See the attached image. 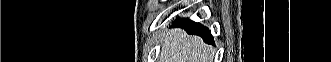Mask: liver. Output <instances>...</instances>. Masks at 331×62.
I'll list each match as a JSON object with an SVG mask.
<instances>
[{
  "label": "liver",
  "instance_id": "liver-1",
  "mask_svg": "<svg viewBox=\"0 0 331 62\" xmlns=\"http://www.w3.org/2000/svg\"><path fill=\"white\" fill-rule=\"evenodd\" d=\"M160 62H211L209 47L197 36H189L181 30H170L163 37Z\"/></svg>",
  "mask_w": 331,
  "mask_h": 62
}]
</instances>
